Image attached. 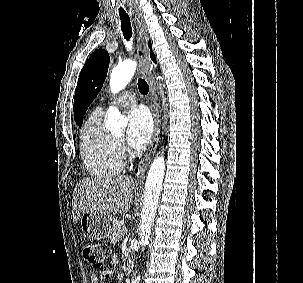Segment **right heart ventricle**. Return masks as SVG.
I'll return each mask as SVG.
<instances>
[{"label": "right heart ventricle", "mask_w": 303, "mask_h": 283, "mask_svg": "<svg viewBox=\"0 0 303 283\" xmlns=\"http://www.w3.org/2000/svg\"><path fill=\"white\" fill-rule=\"evenodd\" d=\"M80 151L87 172L100 179L118 175L124 165L115 139L102 127V111L94 110L80 133Z\"/></svg>", "instance_id": "1"}]
</instances>
